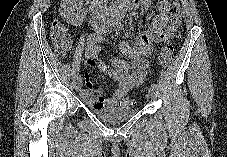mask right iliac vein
I'll list each match as a JSON object with an SVG mask.
<instances>
[{"label": "right iliac vein", "mask_w": 227, "mask_h": 157, "mask_svg": "<svg viewBox=\"0 0 227 157\" xmlns=\"http://www.w3.org/2000/svg\"><path fill=\"white\" fill-rule=\"evenodd\" d=\"M81 80H77L75 83H74V88L76 91H79L81 89Z\"/></svg>", "instance_id": "63e3f726"}]
</instances>
